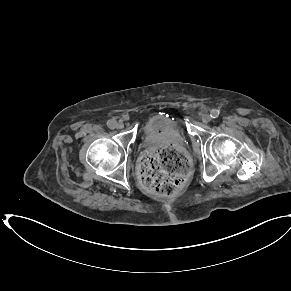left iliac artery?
<instances>
[{
	"label": "left iliac artery",
	"mask_w": 291,
	"mask_h": 291,
	"mask_svg": "<svg viewBox=\"0 0 291 291\" xmlns=\"http://www.w3.org/2000/svg\"><path fill=\"white\" fill-rule=\"evenodd\" d=\"M219 114H220V111L217 110V109H214V110L211 111L210 116L215 119V118H217L219 116Z\"/></svg>",
	"instance_id": "obj_1"
}]
</instances>
